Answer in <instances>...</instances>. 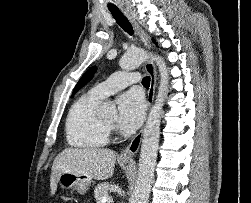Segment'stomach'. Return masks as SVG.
<instances>
[{
  "label": "stomach",
  "mask_w": 251,
  "mask_h": 203,
  "mask_svg": "<svg viewBox=\"0 0 251 203\" xmlns=\"http://www.w3.org/2000/svg\"><path fill=\"white\" fill-rule=\"evenodd\" d=\"M122 163L128 164L130 161H122ZM58 183L62 189L76 190L79 194L84 195L88 191L92 179L82 174L63 172L58 179Z\"/></svg>",
  "instance_id": "stomach-1"
}]
</instances>
